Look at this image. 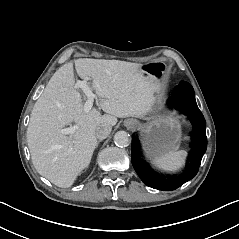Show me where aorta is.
<instances>
[{"label":"aorta","mask_w":239,"mask_h":239,"mask_svg":"<svg viewBox=\"0 0 239 239\" xmlns=\"http://www.w3.org/2000/svg\"><path fill=\"white\" fill-rule=\"evenodd\" d=\"M114 141L117 146L126 147L131 143V138L126 131H118L114 135Z\"/></svg>","instance_id":"aorta-1"}]
</instances>
